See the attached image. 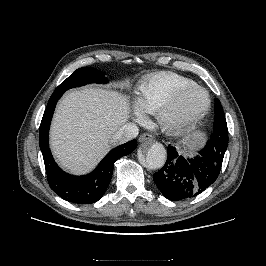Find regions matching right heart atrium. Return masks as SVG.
<instances>
[{"label":"right heart atrium","instance_id":"right-heart-atrium-1","mask_svg":"<svg viewBox=\"0 0 266 266\" xmlns=\"http://www.w3.org/2000/svg\"><path fill=\"white\" fill-rule=\"evenodd\" d=\"M134 116L136 121H138L139 123H143L145 121V116L139 110L135 112Z\"/></svg>","mask_w":266,"mask_h":266}]
</instances>
